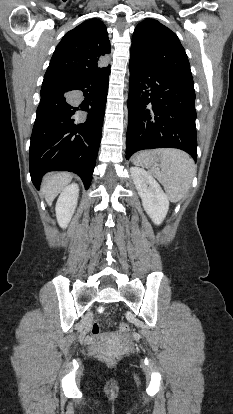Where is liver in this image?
Listing matches in <instances>:
<instances>
[{"label": "liver", "instance_id": "liver-1", "mask_svg": "<svg viewBox=\"0 0 233 414\" xmlns=\"http://www.w3.org/2000/svg\"><path fill=\"white\" fill-rule=\"evenodd\" d=\"M72 175L67 172L47 174L42 182V193L48 205H51L56 196L71 181Z\"/></svg>", "mask_w": 233, "mask_h": 414}]
</instances>
